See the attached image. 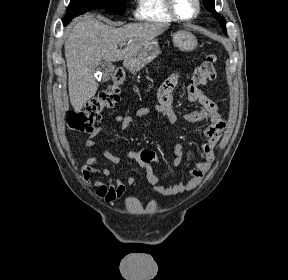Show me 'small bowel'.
I'll use <instances>...</instances> for the list:
<instances>
[{
	"instance_id": "obj_1",
	"label": "small bowel",
	"mask_w": 288,
	"mask_h": 280,
	"mask_svg": "<svg viewBox=\"0 0 288 280\" xmlns=\"http://www.w3.org/2000/svg\"><path fill=\"white\" fill-rule=\"evenodd\" d=\"M180 73L170 75L160 86L157 98L158 104L153 108H139L135 111V117H144L152 112L166 116L171 123H179L181 121L188 123H197L203 121H210V124L204 129L205 141L201 144L198 154V160L194 163L190 170V178L187 181L177 183L175 185L166 186L161 184V179L155 174L154 166H160V160L156 154L148 149L141 148L139 150L130 151L126 154L125 159L135 160L144 169L146 180L149 186L158 194L164 196H173L185 193L196 188L203 180L206 173L209 171L214 159L215 148L221 138L223 131L226 128V122L218 112L217 105L212 101L196 84L188 86V99L200 105L198 110L189 112L182 117H179L173 107V92L178 84ZM114 122L120 124L121 130L129 128L133 122L132 116H116ZM104 126H100L90 134L85 144L89 151L96 145V137L103 131ZM100 154L107 160L115 164H121L122 159L110 153L107 150L99 148ZM176 158L174 160L175 166L182 164L184 156V147L178 144L175 147ZM92 174H98L93 182L95 187V194L97 197L103 199L106 203H114L121 199L126 193L127 187L131 186L135 179L127 175L124 180L111 177L110 170L101 165L100 161L93 157L89 152L88 163L82 168L83 178L91 184L90 178ZM107 181H104V180Z\"/></svg>"
}]
</instances>
